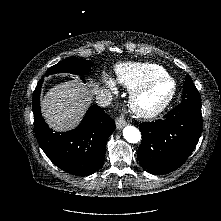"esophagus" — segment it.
<instances>
[{
	"mask_svg": "<svg viewBox=\"0 0 221 221\" xmlns=\"http://www.w3.org/2000/svg\"><path fill=\"white\" fill-rule=\"evenodd\" d=\"M126 121L123 115H120L116 118V125L118 129H122L124 126H126Z\"/></svg>",
	"mask_w": 221,
	"mask_h": 221,
	"instance_id": "34e87169",
	"label": "esophagus"
}]
</instances>
